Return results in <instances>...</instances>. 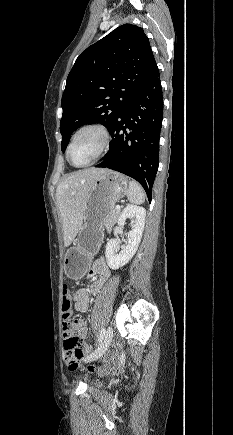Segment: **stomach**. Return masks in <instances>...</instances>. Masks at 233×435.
<instances>
[{
	"label": "stomach",
	"instance_id": "stomach-1",
	"mask_svg": "<svg viewBox=\"0 0 233 435\" xmlns=\"http://www.w3.org/2000/svg\"><path fill=\"white\" fill-rule=\"evenodd\" d=\"M127 190L128 179L118 172L107 170L96 179L85 206L81 229L64 256V270L69 278L79 280L86 275L100 245L109 212Z\"/></svg>",
	"mask_w": 233,
	"mask_h": 435
}]
</instances>
